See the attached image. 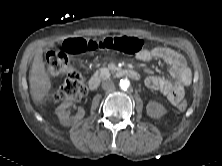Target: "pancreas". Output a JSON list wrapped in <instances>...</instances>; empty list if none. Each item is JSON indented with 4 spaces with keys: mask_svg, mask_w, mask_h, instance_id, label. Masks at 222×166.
<instances>
[{
    "mask_svg": "<svg viewBox=\"0 0 222 166\" xmlns=\"http://www.w3.org/2000/svg\"><path fill=\"white\" fill-rule=\"evenodd\" d=\"M97 75H99L102 78H108L111 75V71L108 68H101L97 72Z\"/></svg>",
    "mask_w": 222,
    "mask_h": 166,
    "instance_id": "obj_1",
    "label": "pancreas"
}]
</instances>
